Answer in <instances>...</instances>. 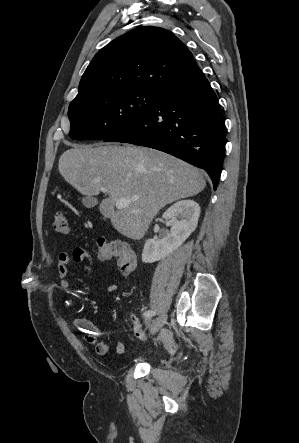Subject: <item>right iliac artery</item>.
I'll list each match as a JSON object with an SVG mask.
<instances>
[{
  "mask_svg": "<svg viewBox=\"0 0 299 443\" xmlns=\"http://www.w3.org/2000/svg\"><path fill=\"white\" fill-rule=\"evenodd\" d=\"M154 315H155V311H152V310L145 311L144 314H143V316L145 318H151Z\"/></svg>",
  "mask_w": 299,
  "mask_h": 443,
  "instance_id": "82829eb1",
  "label": "right iliac artery"
}]
</instances>
